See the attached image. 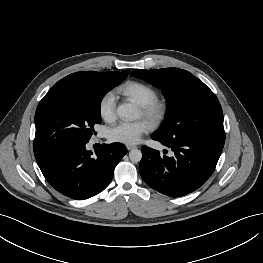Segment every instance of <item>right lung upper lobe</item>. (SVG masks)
Instances as JSON below:
<instances>
[{
  "instance_id": "1",
  "label": "right lung upper lobe",
  "mask_w": 263,
  "mask_h": 263,
  "mask_svg": "<svg viewBox=\"0 0 263 263\" xmlns=\"http://www.w3.org/2000/svg\"><path fill=\"white\" fill-rule=\"evenodd\" d=\"M124 73L129 74V70L123 71ZM108 72H95V71H85V72H77L70 74L60 81H58L51 89L50 91H55V90H62V89H70V88H75L84 82L92 79L95 76L103 75Z\"/></svg>"
}]
</instances>
